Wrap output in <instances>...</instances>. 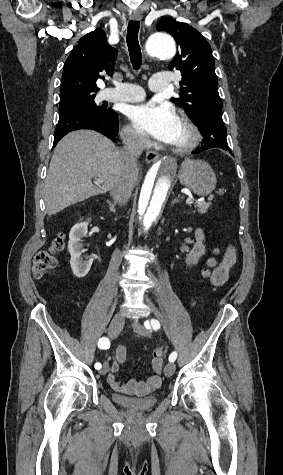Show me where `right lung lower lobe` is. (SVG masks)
Segmentation results:
<instances>
[{
    "instance_id": "98d812e1",
    "label": "right lung lower lobe",
    "mask_w": 283,
    "mask_h": 475,
    "mask_svg": "<svg viewBox=\"0 0 283 475\" xmlns=\"http://www.w3.org/2000/svg\"><path fill=\"white\" fill-rule=\"evenodd\" d=\"M79 129L95 130L112 139L118 133V116L113 110L106 117L96 116L84 109H71L61 112L55 129L53 148L66 134Z\"/></svg>"
}]
</instances>
